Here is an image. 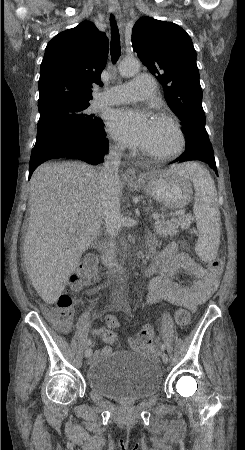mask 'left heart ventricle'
Wrapping results in <instances>:
<instances>
[{"label": "left heart ventricle", "instance_id": "b2bd125f", "mask_svg": "<svg viewBox=\"0 0 245 450\" xmlns=\"http://www.w3.org/2000/svg\"><path fill=\"white\" fill-rule=\"evenodd\" d=\"M175 144L176 134L174 131L163 122L153 121L149 141L144 150L166 151L173 148Z\"/></svg>", "mask_w": 245, "mask_h": 450}]
</instances>
